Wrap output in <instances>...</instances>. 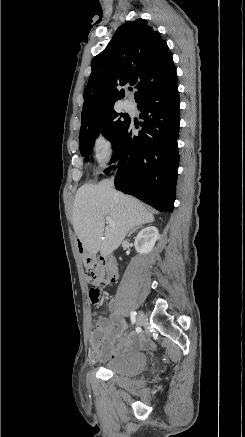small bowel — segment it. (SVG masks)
<instances>
[{
	"instance_id": "small-bowel-1",
	"label": "small bowel",
	"mask_w": 245,
	"mask_h": 437,
	"mask_svg": "<svg viewBox=\"0 0 245 437\" xmlns=\"http://www.w3.org/2000/svg\"><path fill=\"white\" fill-rule=\"evenodd\" d=\"M110 307L115 308L113 301L110 302ZM124 327L125 323L119 319L116 313H113L110 319H99L91 335L92 357L98 360L110 359L122 350L140 347L145 344L146 339L144 337L134 335L131 339L115 347L114 341L121 335Z\"/></svg>"
}]
</instances>
